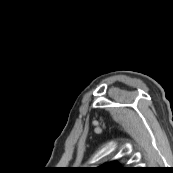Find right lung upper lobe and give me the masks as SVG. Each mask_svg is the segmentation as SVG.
Here are the masks:
<instances>
[{
	"label": "right lung upper lobe",
	"instance_id": "1",
	"mask_svg": "<svg viewBox=\"0 0 173 173\" xmlns=\"http://www.w3.org/2000/svg\"><path fill=\"white\" fill-rule=\"evenodd\" d=\"M128 170L129 169L127 167H121L114 161L95 168L97 173H124Z\"/></svg>",
	"mask_w": 173,
	"mask_h": 173
}]
</instances>
